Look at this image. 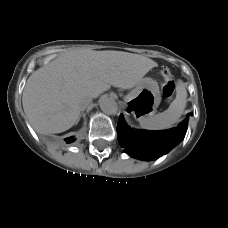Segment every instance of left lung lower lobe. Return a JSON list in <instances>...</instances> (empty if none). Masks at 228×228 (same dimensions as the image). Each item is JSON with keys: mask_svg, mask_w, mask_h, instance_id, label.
<instances>
[{"mask_svg": "<svg viewBox=\"0 0 228 228\" xmlns=\"http://www.w3.org/2000/svg\"><path fill=\"white\" fill-rule=\"evenodd\" d=\"M191 115L189 113L177 127L163 131L132 129L126 125L121 115L117 124L118 141L134 158L143 160L159 158L185 137Z\"/></svg>", "mask_w": 228, "mask_h": 228, "instance_id": "0a47b994", "label": "left lung lower lobe"}]
</instances>
